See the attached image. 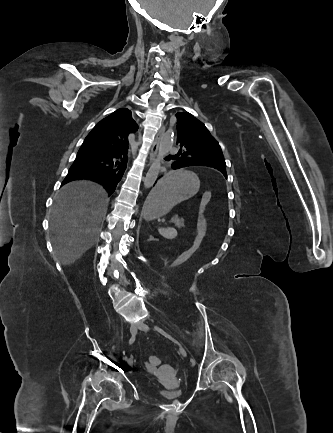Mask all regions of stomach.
Listing matches in <instances>:
<instances>
[{
  "instance_id": "obj_1",
  "label": "stomach",
  "mask_w": 333,
  "mask_h": 433,
  "mask_svg": "<svg viewBox=\"0 0 333 433\" xmlns=\"http://www.w3.org/2000/svg\"><path fill=\"white\" fill-rule=\"evenodd\" d=\"M196 175L195 169H170L169 174L159 176V183H153L147 195L143 220H164L178 203L193 199L199 186Z\"/></svg>"
}]
</instances>
